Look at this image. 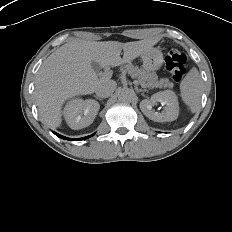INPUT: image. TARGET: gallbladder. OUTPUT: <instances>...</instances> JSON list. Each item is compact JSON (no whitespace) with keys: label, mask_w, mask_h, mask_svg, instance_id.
Returning a JSON list of instances; mask_svg holds the SVG:
<instances>
[{"label":"gallbladder","mask_w":232,"mask_h":232,"mask_svg":"<svg viewBox=\"0 0 232 232\" xmlns=\"http://www.w3.org/2000/svg\"><path fill=\"white\" fill-rule=\"evenodd\" d=\"M91 66H92V68L94 69L95 72H98L99 69H100V65L95 61L91 62Z\"/></svg>","instance_id":"bac80fb5"}]
</instances>
